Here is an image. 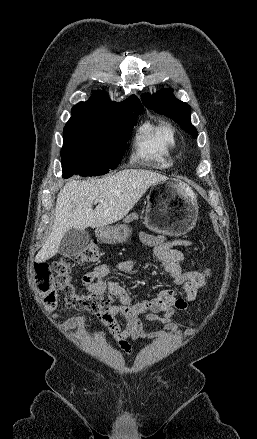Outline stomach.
I'll use <instances>...</instances> for the list:
<instances>
[{"instance_id":"1","label":"stomach","mask_w":257,"mask_h":439,"mask_svg":"<svg viewBox=\"0 0 257 439\" xmlns=\"http://www.w3.org/2000/svg\"><path fill=\"white\" fill-rule=\"evenodd\" d=\"M197 218V196L188 184L167 178L151 186L144 218L147 228L180 236L194 228ZM131 233L124 224L96 230L97 237L105 243H123Z\"/></svg>"}]
</instances>
